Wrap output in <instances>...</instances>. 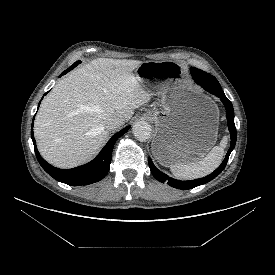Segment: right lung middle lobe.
<instances>
[{"instance_id": "dd1d6c3e", "label": "right lung middle lobe", "mask_w": 275, "mask_h": 275, "mask_svg": "<svg viewBox=\"0 0 275 275\" xmlns=\"http://www.w3.org/2000/svg\"><path fill=\"white\" fill-rule=\"evenodd\" d=\"M79 63H80V61H77V62H76V63H74L73 65H75V66H76V65H77V64H79Z\"/></svg>"}]
</instances>
